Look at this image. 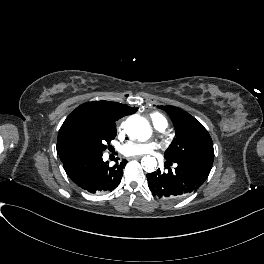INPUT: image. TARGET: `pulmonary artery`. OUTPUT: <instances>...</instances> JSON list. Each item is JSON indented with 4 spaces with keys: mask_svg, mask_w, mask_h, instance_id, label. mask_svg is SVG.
I'll use <instances>...</instances> for the list:
<instances>
[{
    "mask_svg": "<svg viewBox=\"0 0 264 264\" xmlns=\"http://www.w3.org/2000/svg\"><path fill=\"white\" fill-rule=\"evenodd\" d=\"M156 125L158 128L162 129L165 127L166 123L164 121H157ZM154 145L152 143H144V144H126L123 146L124 150H128L130 152H137V153H150ZM133 150V151H131Z\"/></svg>",
    "mask_w": 264,
    "mask_h": 264,
    "instance_id": "e3ab8cb5",
    "label": "pulmonary artery"
}]
</instances>
